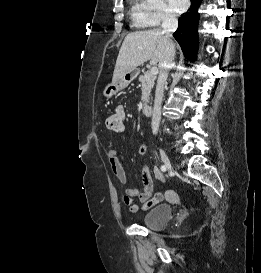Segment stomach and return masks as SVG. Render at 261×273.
Returning <instances> with one entry per match:
<instances>
[{
  "instance_id": "0dacf381",
  "label": "stomach",
  "mask_w": 261,
  "mask_h": 273,
  "mask_svg": "<svg viewBox=\"0 0 261 273\" xmlns=\"http://www.w3.org/2000/svg\"><path fill=\"white\" fill-rule=\"evenodd\" d=\"M139 70L134 69L128 73H126L122 78H120L116 83L108 84L103 90V96L106 98H110L115 95L120 90L124 89L129 85L131 81H133L138 75Z\"/></svg>"
}]
</instances>
